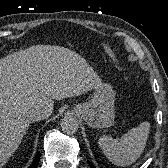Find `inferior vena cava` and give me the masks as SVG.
I'll return each mask as SVG.
<instances>
[{"label":"inferior vena cava","mask_w":168,"mask_h":168,"mask_svg":"<svg viewBox=\"0 0 168 168\" xmlns=\"http://www.w3.org/2000/svg\"><path fill=\"white\" fill-rule=\"evenodd\" d=\"M49 116H50L49 112H47L41 108H38V107L31 109L27 115V117L31 121H40L42 119L48 118Z\"/></svg>","instance_id":"602c4592"}]
</instances>
